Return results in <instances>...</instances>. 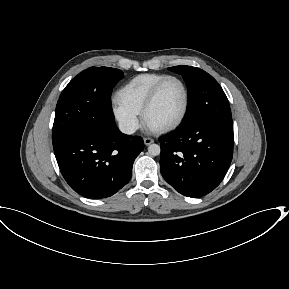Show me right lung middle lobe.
Here are the masks:
<instances>
[{
    "label": "right lung middle lobe",
    "mask_w": 289,
    "mask_h": 289,
    "mask_svg": "<svg viewBox=\"0 0 289 289\" xmlns=\"http://www.w3.org/2000/svg\"><path fill=\"white\" fill-rule=\"evenodd\" d=\"M122 78L121 70L109 67H90L73 78L56 106L53 145L84 127L114 124L110 96Z\"/></svg>",
    "instance_id": "obj_1"
}]
</instances>
